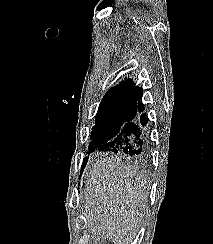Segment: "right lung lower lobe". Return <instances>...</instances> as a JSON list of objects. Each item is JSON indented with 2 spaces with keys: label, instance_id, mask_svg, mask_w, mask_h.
Instances as JSON below:
<instances>
[{
  "label": "right lung lower lobe",
  "instance_id": "obj_1",
  "mask_svg": "<svg viewBox=\"0 0 213 244\" xmlns=\"http://www.w3.org/2000/svg\"><path fill=\"white\" fill-rule=\"evenodd\" d=\"M142 94L143 92L137 98L134 116L123 125L119 134L110 141L99 145L96 149H93L88 153L98 150L133 156L144 155L146 150V137L141 124L144 126L148 118L146 114L139 116V113L144 111ZM85 163L86 161H84L83 167Z\"/></svg>",
  "mask_w": 213,
  "mask_h": 244
}]
</instances>
